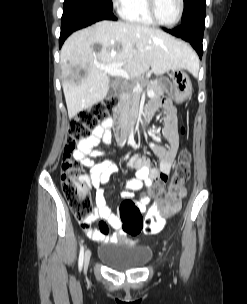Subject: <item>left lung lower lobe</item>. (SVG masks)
Returning a JSON list of instances; mask_svg holds the SVG:
<instances>
[{"label":"left lung lower lobe","mask_w":247,"mask_h":304,"mask_svg":"<svg viewBox=\"0 0 247 304\" xmlns=\"http://www.w3.org/2000/svg\"><path fill=\"white\" fill-rule=\"evenodd\" d=\"M205 28V9L194 13L186 22L172 30L164 28L166 32L182 38L183 40L190 42L193 48L198 53L199 57L203 54V32Z\"/></svg>","instance_id":"left-lung-lower-lobe-1"}]
</instances>
